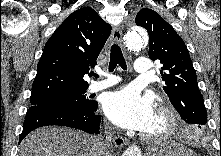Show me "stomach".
<instances>
[{
	"mask_svg": "<svg viewBox=\"0 0 221 156\" xmlns=\"http://www.w3.org/2000/svg\"><path fill=\"white\" fill-rule=\"evenodd\" d=\"M149 156H196V154L176 141H167L151 149Z\"/></svg>",
	"mask_w": 221,
	"mask_h": 156,
	"instance_id": "1",
	"label": "stomach"
}]
</instances>
